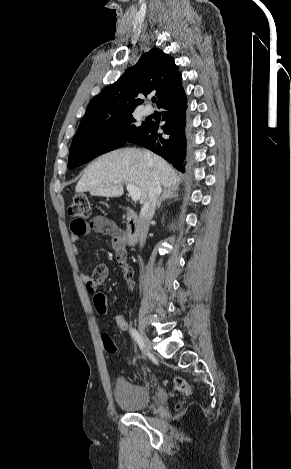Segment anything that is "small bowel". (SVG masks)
Masks as SVG:
<instances>
[{
  "mask_svg": "<svg viewBox=\"0 0 291 469\" xmlns=\"http://www.w3.org/2000/svg\"><path fill=\"white\" fill-rule=\"evenodd\" d=\"M71 229V241L73 242V252L79 253V247L76 243L81 237L87 235L90 232L101 233L108 235L111 238V245L116 256L119 253H123L126 260L125 253V233L111 220L103 216H95L88 223L80 220H74L70 225ZM79 265H82L81 259L78 260ZM109 275V268L106 264H98L93 271L82 274V280L85 283L86 289L89 293L93 294L95 298V292L97 287L101 284ZM108 306V305H107ZM116 324L120 330L126 331L128 329V321L121 315H116Z\"/></svg>",
  "mask_w": 291,
  "mask_h": 469,
  "instance_id": "obj_1",
  "label": "small bowel"
}]
</instances>
